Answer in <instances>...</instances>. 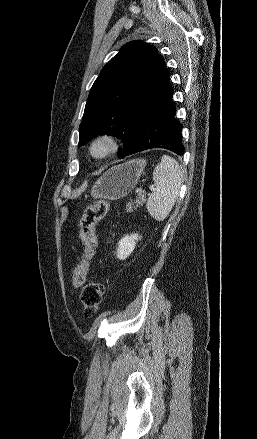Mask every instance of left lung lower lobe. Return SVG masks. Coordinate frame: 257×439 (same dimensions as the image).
I'll use <instances>...</instances> for the list:
<instances>
[{"label": "left lung lower lobe", "mask_w": 257, "mask_h": 439, "mask_svg": "<svg viewBox=\"0 0 257 439\" xmlns=\"http://www.w3.org/2000/svg\"><path fill=\"white\" fill-rule=\"evenodd\" d=\"M172 94L173 90L169 85L143 119L137 142L126 156L151 148H163L183 155L182 125L174 117Z\"/></svg>", "instance_id": "obj_1"}]
</instances>
